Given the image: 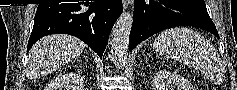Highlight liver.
I'll use <instances>...</instances> for the list:
<instances>
[{"label": "liver", "mask_w": 237, "mask_h": 90, "mask_svg": "<svg viewBox=\"0 0 237 90\" xmlns=\"http://www.w3.org/2000/svg\"><path fill=\"white\" fill-rule=\"evenodd\" d=\"M86 44L67 34L45 36L32 46L28 56V74L44 76L83 54Z\"/></svg>", "instance_id": "6515ba94"}]
</instances>
